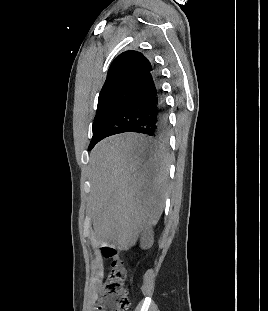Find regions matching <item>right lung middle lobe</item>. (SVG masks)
Wrapping results in <instances>:
<instances>
[{
    "instance_id": "obj_1",
    "label": "right lung middle lobe",
    "mask_w": 268,
    "mask_h": 311,
    "mask_svg": "<svg viewBox=\"0 0 268 311\" xmlns=\"http://www.w3.org/2000/svg\"><path fill=\"white\" fill-rule=\"evenodd\" d=\"M135 87L136 84L124 85L98 99L97 112L92 126L93 137L88 148L89 150L100 141L107 126L133 95Z\"/></svg>"
}]
</instances>
